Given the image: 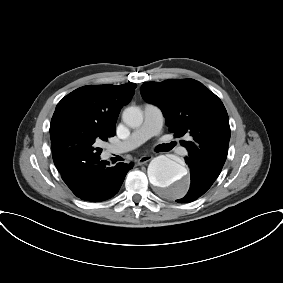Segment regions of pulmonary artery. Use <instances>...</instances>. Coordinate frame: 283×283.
Returning <instances> with one entry per match:
<instances>
[{
	"label": "pulmonary artery",
	"mask_w": 283,
	"mask_h": 283,
	"mask_svg": "<svg viewBox=\"0 0 283 283\" xmlns=\"http://www.w3.org/2000/svg\"><path fill=\"white\" fill-rule=\"evenodd\" d=\"M162 125L163 114L161 109L154 104L146 103L144 105V121L142 125L133 131L127 139L112 145L110 151L115 154L130 151L140 146L150 137L158 134ZM185 151L186 150L182 148V152L185 153Z\"/></svg>",
	"instance_id": "obj_1"
}]
</instances>
